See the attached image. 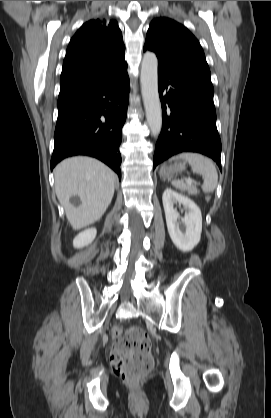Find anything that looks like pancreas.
<instances>
[{"mask_svg":"<svg viewBox=\"0 0 271 418\" xmlns=\"http://www.w3.org/2000/svg\"><path fill=\"white\" fill-rule=\"evenodd\" d=\"M191 194H196L198 192V189L196 186L191 187L190 191Z\"/></svg>","mask_w":271,"mask_h":418,"instance_id":"obj_1","label":"pancreas"}]
</instances>
